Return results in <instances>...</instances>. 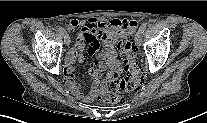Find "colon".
I'll return each mask as SVG.
<instances>
[{"mask_svg":"<svg viewBox=\"0 0 207 123\" xmlns=\"http://www.w3.org/2000/svg\"><path fill=\"white\" fill-rule=\"evenodd\" d=\"M117 49L125 75H110L105 82V88L96 96L97 100L108 104L121 102L126 93L138 90L145 80L137 62L135 46L130 35L118 41Z\"/></svg>","mask_w":207,"mask_h":123,"instance_id":"1","label":"colon"}]
</instances>
